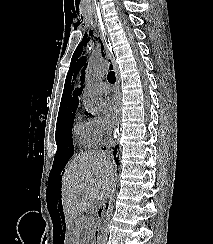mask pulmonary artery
I'll use <instances>...</instances> for the list:
<instances>
[{"mask_svg":"<svg viewBox=\"0 0 213 244\" xmlns=\"http://www.w3.org/2000/svg\"><path fill=\"white\" fill-rule=\"evenodd\" d=\"M101 92L104 94H108L110 92L111 86L109 83L103 82L100 84Z\"/></svg>","mask_w":213,"mask_h":244,"instance_id":"obj_1","label":"pulmonary artery"}]
</instances>
